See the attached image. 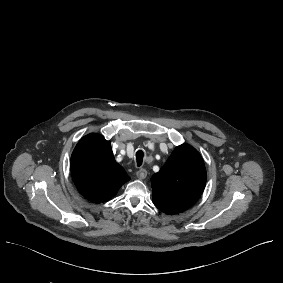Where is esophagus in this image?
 <instances>
[{
	"label": "esophagus",
	"instance_id": "obj_1",
	"mask_svg": "<svg viewBox=\"0 0 283 283\" xmlns=\"http://www.w3.org/2000/svg\"><path fill=\"white\" fill-rule=\"evenodd\" d=\"M147 171H146V169H144V168H141V169H139L137 172H136V176H137V178H139L140 180H143V179H145L146 178V176H147Z\"/></svg>",
	"mask_w": 283,
	"mask_h": 283
}]
</instances>
